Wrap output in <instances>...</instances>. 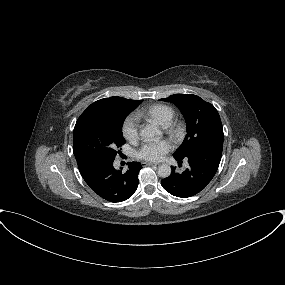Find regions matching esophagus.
Segmentation results:
<instances>
[{"label":"esophagus","mask_w":285,"mask_h":285,"mask_svg":"<svg viewBox=\"0 0 285 285\" xmlns=\"http://www.w3.org/2000/svg\"><path fill=\"white\" fill-rule=\"evenodd\" d=\"M157 165H159V164H157V163H150V162H144L143 163V166H157Z\"/></svg>","instance_id":"obj_1"}]
</instances>
